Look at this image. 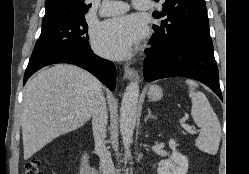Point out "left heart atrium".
<instances>
[{"mask_svg":"<svg viewBox=\"0 0 249 174\" xmlns=\"http://www.w3.org/2000/svg\"><path fill=\"white\" fill-rule=\"evenodd\" d=\"M145 26L136 16L112 18L101 23L93 35V46L101 55L123 59L142 38Z\"/></svg>","mask_w":249,"mask_h":174,"instance_id":"obj_1","label":"left heart atrium"}]
</instances>
